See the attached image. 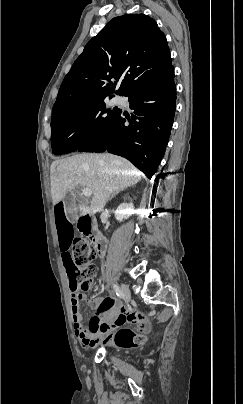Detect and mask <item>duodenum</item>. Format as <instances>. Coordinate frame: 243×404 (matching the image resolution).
<instances>
[{"mask_svg": "<svg viewBox=\"0 0 243 404\" xmlns=\"http://www.w3.org/2000/svg\"><path fill=\"white\" fill-rule=\"evenodd\" d=\"M78 229L81 234L93 242L98 256L103 258L107 251V240L98 230L95 221L88 213H83L79 218Z\"/></svg>", "mask_w": 243, "mask_h": 404, "instance_id": "1", "label": "duodenum"}]
</instances>
